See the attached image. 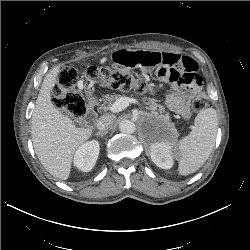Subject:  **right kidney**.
<instances>
[{
  "mask_svg": "<svg viewBox=\"0 0 250 250\" xmlns=\"http://www.w3.org/2000/svg\"><path fill=\"white\" fill-rule=\"evenodd\" d=\"M99 150V142L96 140L82 144L75 152L74 165L81 171H91L97 161Z\"/></svg>",
  "mask_w": 250,
  "mask_h": 250,
  "instance_id": "ca27d5eb",
  "label": "right kidney"
}]
</instances>
